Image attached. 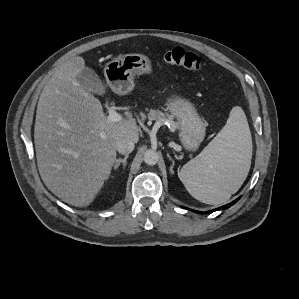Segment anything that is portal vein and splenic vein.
<instances>
[{
	"label": "portal vein and splenic vein",
	"instance_id": "obj_1",
	"mask_svg": "<svg viewBox=\"0 0 299 299\" xmlns=\"http://www.w3.org/2000/svg\"><path fill=\"white\" fill-rule=\"evenodd\" d=\"M107 120L110 122H120L123 118L122 116L117 113L113 108H110L108 111Z\"/></svg>",
	"mask_w": 299,
	"mask_h": 299
}]
</instances>
